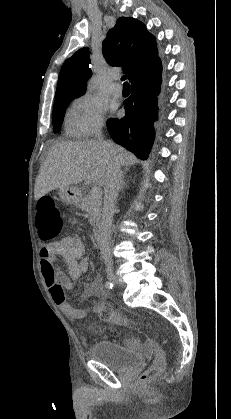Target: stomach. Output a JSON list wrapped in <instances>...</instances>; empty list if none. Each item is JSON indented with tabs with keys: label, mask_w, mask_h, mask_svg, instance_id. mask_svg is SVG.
<instances>
[{
	"label": "stomach",
	"mask_w": 231,
	"mask_h": 419,
	"mask_svg": "<svg viewBox=\"0 0 231 419\" xmlns=\"http://www.w3.org/2000/svg\"><path fill=\"white\" fill-rule=\"evenodd\" d=\"M59 196L67 204L77 205L81 199V191L75 186L61 188Z\"/></svg>",
	"instance_id": "obj_1"
}]
</instances>
